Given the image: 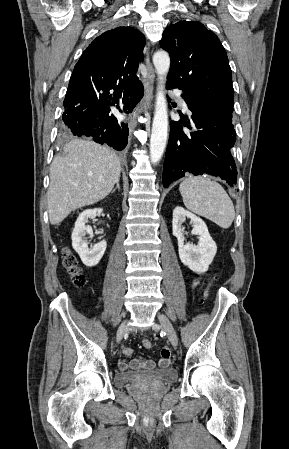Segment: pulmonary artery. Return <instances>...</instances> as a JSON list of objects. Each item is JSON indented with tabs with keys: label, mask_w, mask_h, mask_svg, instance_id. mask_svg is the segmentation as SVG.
Returning <instances> with one entry per match:
<instances>
[{
	"label": "pulmonary artery",
	"mask_w": 289,
	"mask_h": 449,
	"mask_svg": "<svg viewBox=\"0 0 289 449\" xmlns=\"http://www.w3.org/2000/svg\"><path fill=\"white\" fill-rule=\"evenodd\" d=\"M176 96L178 97L179 102H180L181 106L183 107V109L185 111H188V106H187L184 98L182 97V95H181V93L179 91L176 92Z\"/></svg>",
	"instance_id": "1"
}]
</instances>
